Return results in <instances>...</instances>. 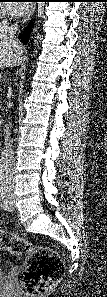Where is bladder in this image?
Returning a JSON list of instances; mask_svg holds the SVG:
<instances>
[{
	"mask_svg": "<svg viewBox=\"0 0 107 297\" xmlns=\"http://www.w3.org/2000/svg\"><path fill=\"white\" fill-rule=\"evenodd\" d=\"M5 275L4 273L2 272V270L0 269V280L2 281L4 279Z\"/></svg>",
	"mask_w": 107,
	"mask_h": 297,
	"instance_id": "1",
	"label": "bladder"
}]
</instances>
